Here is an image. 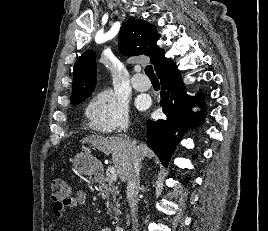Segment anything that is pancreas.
Listing matches in <instances>:
<instances>
[{"label":"pancreas","instance_id":"cf45deb5","mask_svg":"<svg viewBox=\"0 0 268 231\" xmlns=\"http://www.w3.org/2000/svg\"><path fill=\"white\" fill-rule=\"evenodd\" d=\"M99 195L106 200L108 214L111 212L113 215H110L112 219H114L113 224L118 223V216L120 214V204L117 196L119 195V191L117 187L111 184V182L107 179L103 181L99 186Z\"/></svg>","mask_w":268,"mask_h":231}]
</instances>
